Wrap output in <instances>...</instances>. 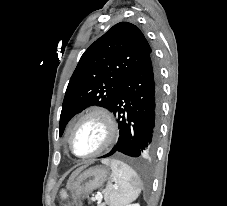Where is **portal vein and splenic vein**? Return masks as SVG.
<instances>
[{
	"instance_id": "18ae733b",
	"label": "portal vein and splenic vein",
	"mask_w": 227,
	"mask_h": 206,
	"mask_svg": "<svg viewBox=\"0 0 227 206\" xmlns=\"http://www.w3.org/2000/svg\"><path fill=\"white\" fill-rule=\"evenodd\" d=\"M96 199L100 200L101 199V194L96 196Z\"/></svg>"
}]
</instances>
